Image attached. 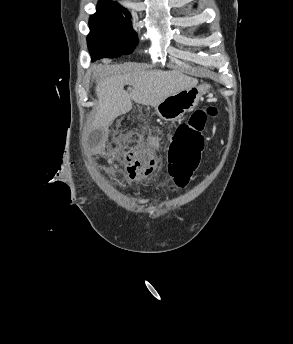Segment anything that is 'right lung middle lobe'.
<instances>
[{
	"label": "right lung middle lobe",
	"mask_w": 293,
	"mask_h": 344,
	"mask_svg": "<svg viewBox=\"0 0 293 344\" xmlns=\"http://www.w3.org/2000/svg\"><path fill=\"white\" fill-rule=\"evenodd\" d=\"M127 10L101 8L90 17V34L87 37L92 61L103 57L130 54L137 44V36L129 21Z\"/></svg>",
	"instance_id": "dd1d6c3e"
}]
</instances>
